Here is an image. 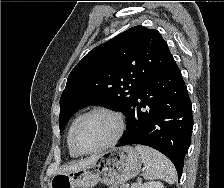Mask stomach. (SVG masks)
I'll return each instance as SVG.
<instances>
[{"mask_svg": "<svg viewBox=\"0 0 224 188\" xmlns=\"http://www.w3.org/2000/svg\"><path fill=\"white\" fill-rule=\"evenodd\" d=\"M141 165L142 157L133 147L113 148L84 168L56 174L50 188H92L98 182L117 186L137 176Z\"/></svg>", "mask_w": 224, "mask_h": 188, "instance_id": "0dacf381", "label": "stomach"}]
</instances>
